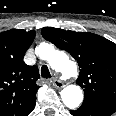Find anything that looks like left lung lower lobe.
<instances>
[{"label": "left lung lower lobe", "instance_id": "1", "mask_svg": "<svg viewBox=\"0 0 116 116\" xmlns=\"http://www.w3.org/2000/svg\"><path fill=\"white\" fill-rule=\"evenodd\" d=\"M116 111V104L103 102H83L77 110H71L73 116H110Z\"/></svg>", "mask_w": 116, "mask_h": 116}]
</instances>
